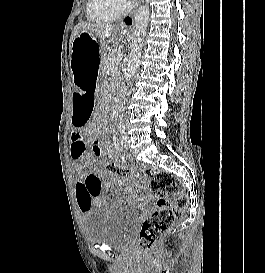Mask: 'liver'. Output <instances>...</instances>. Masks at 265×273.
<instances>
[{
    "label": "liver",
    "mask_w": 265,
    "mask_h": 273,
    "mask_svg": "<svg viewBox=\"0 0 265 273\" xmlns=\"http://www.w3.org/2000/svg\"><path fill=\"white\" fill-rule=\"evenodd\" d=\"M82 32H87L91 35H94L97 39L102 41L105 45L106 42L115 44L117 42L116 34L120 33V29L118 26L105 24V23H87V22H80L72 31L70 37V53L71 47L74 39L81 34Z\"/></svg>",
    "instance_id": "6515ba94"
}]
</instances>
